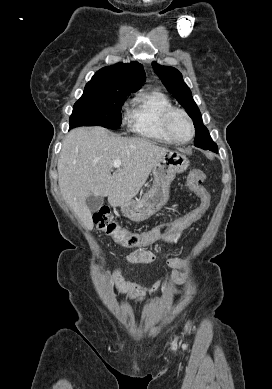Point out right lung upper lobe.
Wrapping results in <instances>:
<instances>
[{
	"mask_svg": "<svg viewBox=\"0 0 272 389\" xmlns=\"http://www.w3.org/2000/svg\"><path fill=\"white\" fill-rule=\"evenodd\" d=\"M145 79V72L139 63H117L97 71L86 87L132 93L141 88Z\"/></svg>",
	"mask_w": 272,
	"mask_h": 389,
	"instance_id": "right-lung-upper-lobe-1",
	"label": "right lung upper lobe"
}]
</instances>
